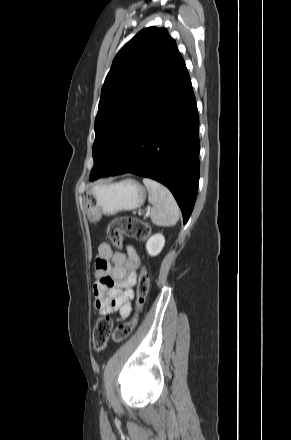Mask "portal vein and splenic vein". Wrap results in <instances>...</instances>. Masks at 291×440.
Masks as SVG:
<instances>
[{
    "mask_svg": "<svg viewBox=\"0 0 291 440\" xmlns=\"http://www.w3.org/2000/svg\"><path fill=\"white\" fill-rule=\"evenodd\" d=\"M149 215V210L147 211V213H146V216H148Z\"/></svg>",
    "mask_w": 291,
    "mask_h": 440,
    "instance_id": "18ae733b",
    "label": "portal vein and splenic vein"
}]
</instances>
